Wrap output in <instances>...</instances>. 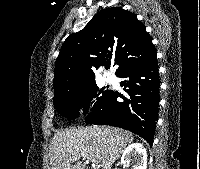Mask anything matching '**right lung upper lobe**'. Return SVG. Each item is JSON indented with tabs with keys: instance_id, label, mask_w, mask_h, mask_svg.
Returning a JSON list of instances; mask_svg holds the SVG:
<instances>
[{
	"instance_id": "obj_1",
	"label": "right lung upper lobe",
	"mask_w": 200,
	"mask_h": 169,
	"mask_svg": "<svg viewBox=\"0 0 200 169\" xmlns=\"http://www.w3.org/2000/svg\"><path fill=\"white\" fill-rule=\"evenodd\" d=\"M156 56L152 38L134 13L120 7L96 14L64 42L54 71V98L75 92L95 79L93 69L119 65L115 74Z\"/></svg>"
}]
</instances>
